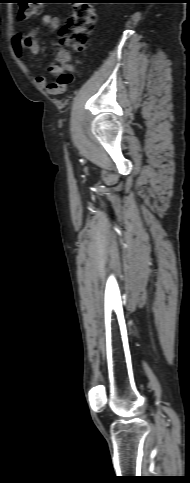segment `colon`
<instances>
[{"label": "colon", "mask_w": 190, "mask_h": 483, "mask_svg": "<svg viewBox=\"0 0 190 483\" xmlns=\"http://www.w3.org/2000/svg\"><path fill=\"white\" fill-rule=\"evenodd\" d=\"M18 16L22 19H31L40 11V0H20ZM96 22L95 10L88 4H76L73 12L61 29L60 44L70 45L74 51L82 52L85 50L90 34ZM50 72L57 77L55 82L58 90L70 85L74 78L67 70L62 71L57 64L49 67Z\"/></svg>", "instance_id": "colon-1"}]
</instances>
